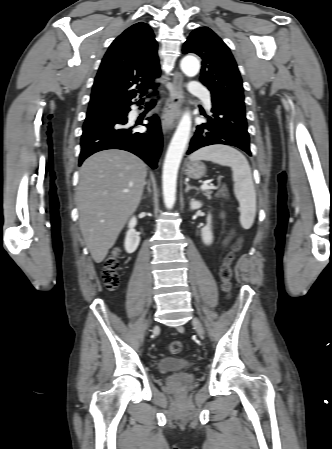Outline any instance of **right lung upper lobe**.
<instances>
[{"instance_id": "cb5924a9", "label": "right lung upper lobe", "mask_w": 332, "mask_h": 449, "mask_svg": "<svg viewBox=\"0 0 332 449\" xmlns=\"http://www.w3.org/2000/svg\"><path fill=\"white\" fill-rule=\"evenodd\" d=\"M159 76L153 31L146 23H136L113 41L102 59L88 113L129 107L138 93L143 96L147 90L157 88L154 80Z\"/></svg>"}]
</instances>
